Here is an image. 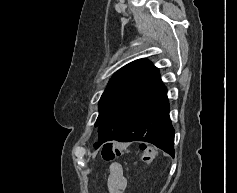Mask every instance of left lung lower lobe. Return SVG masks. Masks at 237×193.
I'll use <instances>...</instances> for the list:
<instances>
[{"mask_svg": "<svg viewBox=\"0 0 237 193\" xmlns=\"http://www.w3.org/2000/svg\"><path fill=\"white\" fill-rule=\"evenodd\" d=\"M117 141L152 143L174 157V129L169 117L166 87L155 82L135 107ZM96 148L98 146L95 145Z\"/></svg>", "mask_w": 237, "mask_h": 193, "instance_id": "left-lung-lower-lobe-1", "label": "left lung lower lobe"}]
</instances>
